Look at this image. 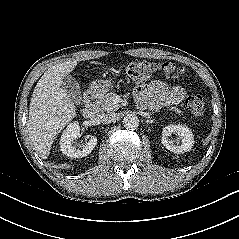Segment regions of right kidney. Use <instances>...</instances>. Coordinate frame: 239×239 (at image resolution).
<instances>
[{"label": "right kidney", "instance_id": "right-kidney-1", "mask_svg": "<svg viewBox=\"0 0 239 239\" xmlns=\"http://www.w3.org/2000/svg\"><path fill=\"white\" fill-rule=\"evenodd\" d=\"M80 135V126L78 122L70 123L63 131L60 139V148L64 155L71 158L85 157L91 153L97 144V137L88 135V142H86L83 149H77L73 145V140Z\"/></svg>", "mask_w": 239, "mask_h": 239}]
</instances>
